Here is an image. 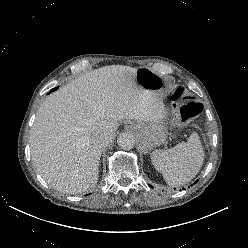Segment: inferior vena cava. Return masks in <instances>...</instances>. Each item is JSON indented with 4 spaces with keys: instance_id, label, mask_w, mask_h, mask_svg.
<instances>
[{
    "instance_id": "obj_1",
    "label": "inferior vena cava",
    "mask_w": 248,
    "mask_h": 248,
    "mask_svg": "<svg viewBox=\"0 0 248 248\" xmlns=\"http://www.w3.org/2000/svg\"><path fill=\"white\" fill-rule=\"evenodd\" d=\"M111 138H112V135L110 132H103V133H100L98 136H96V138L94 139V142L101 147H105L108 145Z\"/></svg>"
}]
</instances>
